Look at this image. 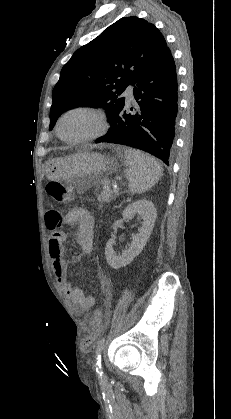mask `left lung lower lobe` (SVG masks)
Segmentation results:
<instances>
[{"label":"left lung lower lobe","mask_w":231,"mask_h":419,"mask_svg":"<svg viewBox=\"0 0 231 419\" xmlns=\"http://www.w3.org/2000/svg\"><path fill=\"white\" fill-rule=\"evenodd\" d=\"M136 108L127 114L124 105L110 121L108 133L96 140L124 144L147 151L165 164L173 151L177 104V75L171 51L135 83Z\"/></svg>","instance_id":"left-lung-lower-lobe-1"}]
</instances>
